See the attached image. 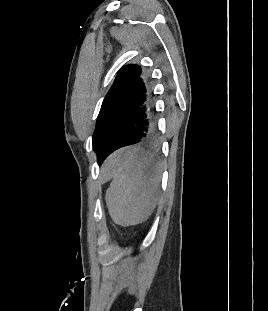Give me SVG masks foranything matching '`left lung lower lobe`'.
<instances>
[{"instance_id": "0a47b994", "label": "left lung lower lobe", "mask_w": 268, "mask_h": 311, "mask_svg": "<svg viewBox=\"0 0 268 311\" xmlns=\"http://www.w3.org/2000/svg\"><path fill=\"white\" fill-rule=\"evenodd\" d=\"M120 117L123 118L120 123L124 122L119 125L113 134L102 161L114 151L127 146V144H140L142 146L149 141L159 140V135L156 134L157 119L152 85L146 72L142 71L135 82L128 105L125 106Z\"/></svg>"}]
</instances>
